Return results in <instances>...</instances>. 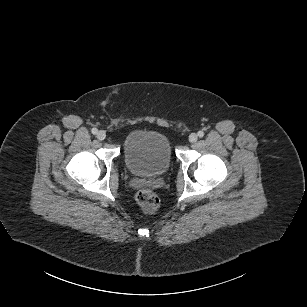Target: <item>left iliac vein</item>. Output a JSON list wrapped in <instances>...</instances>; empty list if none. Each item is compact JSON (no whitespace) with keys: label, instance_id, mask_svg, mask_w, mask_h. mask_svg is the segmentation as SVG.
Instances as JSON below:
<instances>
[{"label":"left iliac vein","instance_id":"1","mask_svg":"<svg viewBox=\"0 0 307 307\" xmlns=\"http://www.w3.org/2000/svg\"><path fill=\"white\" fill-rule=\"evenodd\" d=\"M197 139H198V136H197L196 133H191V134L189 135V141H190L191 143H195V142L197 141Z\"/></svg>","mask_w":307,"mask_h":307}]
</instances>
